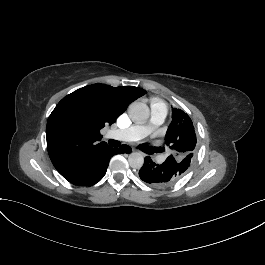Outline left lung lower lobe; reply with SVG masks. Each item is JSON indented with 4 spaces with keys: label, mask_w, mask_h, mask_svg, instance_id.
Here are the masks:
<instances>
[{
    "label": "left lung lower lobe",
    "mask_w": 265,
    "mask_h": 265,
    "mask_svg": "<svg viewBox=\"0 0 265 265\" xmlns=\"http://www.w3.org/2000/svg\"><path fill=\"white\" fill-rule=\"evenodd\" d=\"M139 177L142 181L153 186H168L182 177V169L173 158L168 157L163 163L157 164L147 156L139 171Z\"/></svg>",
    "instance_id": "obj_1"
}]
</instances>
